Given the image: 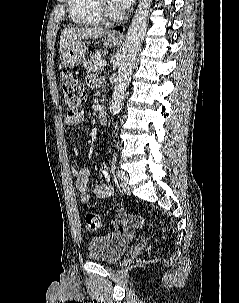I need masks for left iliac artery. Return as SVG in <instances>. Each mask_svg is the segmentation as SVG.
<instances>
[{
    "instance_id": "44dca946",
    "label": "left iliac artery",
    "mask_w": 239,
    "mask_h": 303,
    "mask_svg": "<svg viewBox=\"0 0 239 303\" xmlns=\"http://www.w3.org/2000/svg\"><path fill=\"white\" fill-rule=\"evenodd\" d=\"M117 176L120 178L122 176L120 171H117Z\"/></svg>"
}]
</instances>
